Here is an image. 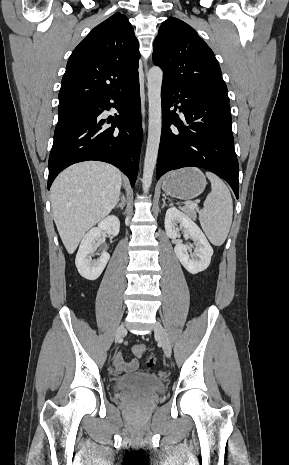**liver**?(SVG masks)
<instances>
[{"mask_svg": "<svg viewBox=\"0 0 289 465\" xmlns=\"http://www.w3.org/2000/svg\"><path fill=\"white\" fill-rule=\"evenodd\" d=\"M122 184L114 166L86 161L58 175L51 187L53 218L69 254L74 253L85 233L116 206Z\"/></svg>", "mask_w": 289, "mask_h": 465, "instance_id": "obj_1", "label": "liver"}]
</instances>
